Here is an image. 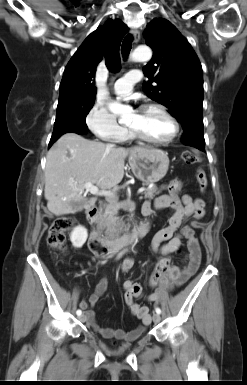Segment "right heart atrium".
I'll use <instances>...</instances> for the list:
<instances>
[{
    "mask_svg": "<svg viewBox=\"0 0 247 385\" xmlns=\"http://www.w3.org/2000/svg\"><path fill=\"white\" fill-rule=\"evenodd\" d=\"M86 124L96 137L109 142L122 140L127 132L108 108L99 102H95L90 108L86 116Z\"/></svg>",
    "mask_w": 247,
    "mask_h": 385,
    "instance_id": "right-heart-atrium-1",
    "label": "right heart atrium"
}]
</instances>
